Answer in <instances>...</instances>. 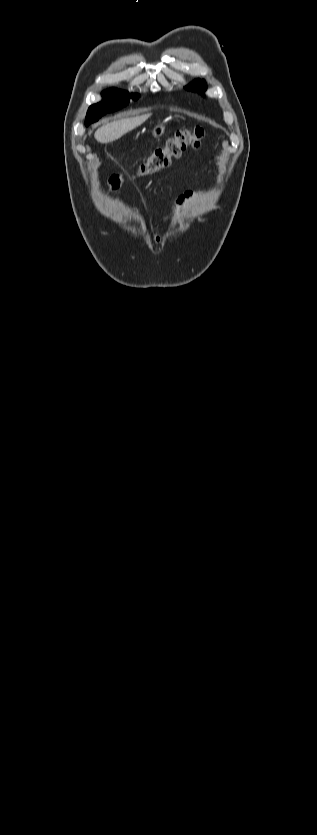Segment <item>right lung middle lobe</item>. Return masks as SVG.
Here are the masks:
<instances>
[{
  "mask_svg": "<svg viewBox=\"0 0 317 835\" xmlns=\"http://www.w3.org/2000/svg\"><path fill=\"white\" fill-rule=\"evenodd\" d=\"M103 101L91 105L87 112V118L85 120V125L88 126L90 123L97 121L102 115L108 112L116 111L129 103L130 95L126 91L118 90V89H109L102 93ZM131 97L136 100L138 95H131Z\"/></svg>",
  "mask_w": 317,
  "mask_h": 835,
  "instance_id": "1",
  "label": "right lung middle lobe"
}]
</instances>
